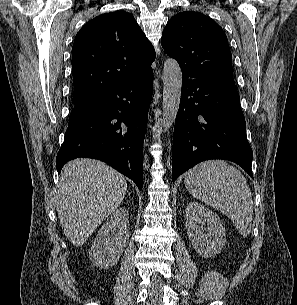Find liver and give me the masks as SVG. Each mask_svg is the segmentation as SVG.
<instances>
[{
    "mask_svg": "<svg viewBox=\"0 0 297 305\" xmlns=\"http://www.w3.org/2000/svg\"><path fill=\"white\" fill-rule=\"evenodd\" d=\"M127 191L123 175L107 164L78 158L65 164L55 192V205L65 236L84 244L122 203Z\"/></svg>",
    "mask_w": 297,
    "mask_h": 305,
    "instance_id": "obj_1",
    "label": "liver"
}]
</instances>
